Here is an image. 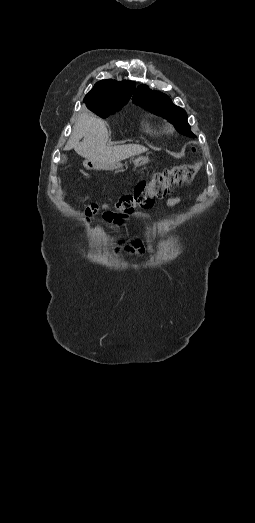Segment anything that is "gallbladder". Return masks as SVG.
<instances>
[{
    "mask_svg": "<svg viewBox=\"0 0 255 523\" xmlns=\"http://www.w3.org/2000/svg\"><path fill=\"white\" fill-rule=\"evenodd\" d=\"M66 160H67L66 156H64V154H62L61 160H60L61 164H64V162H66Z\"/></svg>",
    "mask_w": 255,
    "mask_h": 523,
    "instance_id": "bac80fb5",
    "label": "gallbladder"
}]
</instances>
